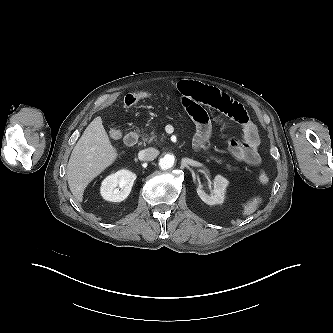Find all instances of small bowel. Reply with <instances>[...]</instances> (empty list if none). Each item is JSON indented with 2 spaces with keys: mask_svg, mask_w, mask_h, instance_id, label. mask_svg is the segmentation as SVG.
I'll use <instances>...</instances> for the list:
<instances>
[{
  "mask_svg": "<svg viewBox=\"0 0 333 333\" xmlns=\"http://www.w3.org/2000/svg\"><path fill=\"white\" fill-rule=\"evenodd\" d=\"M177 90L182 103L192 117L196 132L193 140L195 147L204 146L211 135V122L203 106L216 109L232 118L242 126L243 139H230L228 150L237 160L256 166L260 163V139L256 126L249 118L244 107L220 90L193 81L178 83Z\"/></svg>",
  "mask_w": 333,
  "mask_h": 333,
  "instance_id": "small-bowel-1",
  "label": "small bowel"
}]
</instances>
